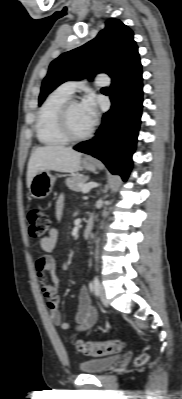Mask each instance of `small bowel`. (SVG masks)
<instances>
[{
	"label": "small bowel",
	"instance_id": "1",
	"mask_svg": "<svg viewBox=\"0 0 182 399\" xmlns=\"http://www.w3.org/2000/svg\"><path fill=\"white\" fill-rule=\"evenodd\" d=\"M64 209V197L60 196L56 203V217L62 216ZM59 233L56 228H52L49 234L40 240V248L43 252L35 264L40 285L47 300V306L51 321L62 330L70 329L72 322L63 321L59 311L60 296L58 295L59 279L56 275V260L50 253L55 249L58 242ZM50 277V281H47ZM97 320L96 311L92 305L91 298L86 286H82L79 292V303L75 323L79 329H87L95 324Z\"/></svg>",
	"mask_w": 182,
	"mask_h": 399
}]
</instances>
